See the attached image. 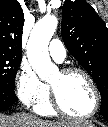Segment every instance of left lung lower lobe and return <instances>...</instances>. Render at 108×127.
<instances>
[{
	"instance_id": "1",
	"label": "left lung lower lobe",
	"mask_w": 108,
	"mask_h": 127,
	"mask_svg": "<svg viewBox=\"0 0 108 127\" xmlns=\"http://www.w3.org/2000/svg\"><path fill=\"white\" fill-rule=\"evenodd\" d=\"M104 118L108 121V116H105Z\"/></svg>"
}]
</instances>
